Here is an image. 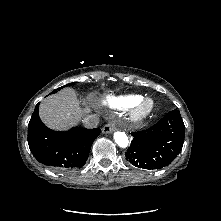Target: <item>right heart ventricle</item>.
<instances>
[{
    "label": "right heart ventricle",
    "instance_id": "1",
    "mask_svg": "<svg viewBox=\"0 0 221 221\" xmlns=\"http://www.w3.org/2000/svg\"><path fill=\"white\" fill-rule=\"evenodd\" d=\"M141 98H143L141 95L136 94L109 96L106 98V104L111 108L122 110L129 108L134 102Z\"/></svg>",
    "mask_w": 221,
    "mask_h": 221
}]
</instances>
